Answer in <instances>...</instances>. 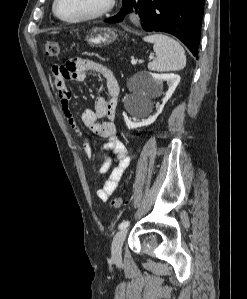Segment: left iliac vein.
<instances>
[{"label":"left iliac vein","instance_id":"4c4485c4","mask_svg":"<svg viewBox=\"0 0 247 299\" xmlns=\"http://www.w3.org/2000/svg\"><path fill=\"white\" fill-rule=\"evenodd\" d=\"M127 231H128L127 227L122 228L114 236V239L112 242V247H111V252H112V259L115 263H119L121 261L122 245L125 240Z\"/></svg>","mask_w":247,"mask_h":299}]
</instances>
